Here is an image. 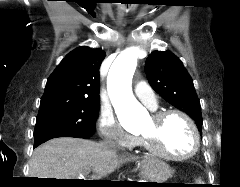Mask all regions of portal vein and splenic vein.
Returning <instances> with one entry per match:
<instances>
[{"label":"portal vein and splenic vein","instance_id":"1","mask_svg":"<svg viewBox=\"0 0 240 187\" xmlns=\"http://www.w3.org/2000/svg\"><path fill=\"white\" fill-rule=\"evenodd\" d=\"M88 173H89V172H87V173H85V174H88ZM93 177H95V176H93ZM95 179H96V180H99V177H96Z\"/></svg>","mask_w":240,"mask_h":187}]
</instances>
